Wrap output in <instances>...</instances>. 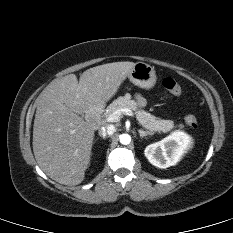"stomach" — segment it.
Instances as JSON below:
<instances>
[{
    "label": "stomach",
    "mask_w": 233,
    "mask_h": 233,
    "mask_svg": "<svg viewBox=\"0 0 233 233\" xmlns=\"http://www.w3.org/2000/svg\"><path fill=\"white\" fill-rule=\"evenodd\" d=\"M128 78L133 84L147 90L153 88L157 80L154 68L144 62L135 63Z\"/></svg>",
    "instance_id": "0dacf381"
}]
</instances>
